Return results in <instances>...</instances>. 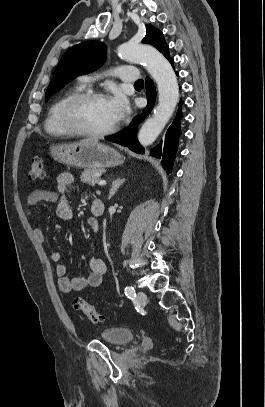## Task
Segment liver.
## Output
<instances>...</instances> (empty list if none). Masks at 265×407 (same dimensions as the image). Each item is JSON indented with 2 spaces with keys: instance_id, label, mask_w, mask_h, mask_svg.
<instances>
[{
  "instance_id": "obj_1",
  "label": "liver",
  "mask_w": 265,
  "mask_h": 407,
  "mask_svg": "<svg viewBox=\"0 0 265 407\" xmlns=\"http://www.w3.org/2000/svg\"><path fill=\"white\" fill-rule=\"evenodd\" d=\"M91 141H94V140H92V139H86V140H83V141H81V142H91Z\"/></svg>"
}]
</instances>
